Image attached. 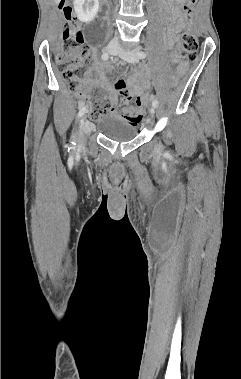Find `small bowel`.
Masks as SVG:
<instances>
[{
    "instance_id": "small-bowel-1",
    "label": "small bowel",
    "mask_w": 241,
    "mask_h": 379,
    "mask_svg": "<svg viewBox=\"0 0 241 379\" xmlns=\"http://www.w3.org/2000/svg\"><path fill=\"white\" fill-rule=\"evenodd\" d=\"M178 1L179 0H165L164 4L169 19L172 21V25L168 29L167 41L169 46L172 48L170 59L173 63L179 62V36L186 26V23L180 14ZM184 70L185 64L180 63L179 72L182 73ZM95 72L98 76V79L89 78L87 85L92 86L97 83L101 84L107 90L112 102L116 103L118 100L117 95L116 92L110 87L107 78L106 67L103 65H97L95 67ZM127 86L129 88V91H127L125 86V94L118 89L122 95L121 99L119 100V105L121 107L120 115L122 118L132 123V125H143V121L146 120L147 111L143 110L145 103L141 102L139 93L143 92L144 87H149V83L146 79V74L141 73L129 77Z\"/></svg>"
}]
</instances>
